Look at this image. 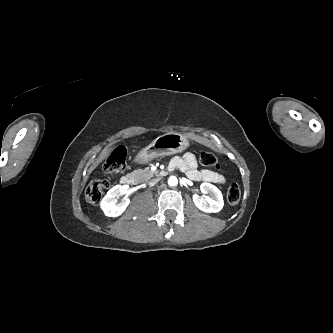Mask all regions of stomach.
<instances>
[{
    "instance_id": "0dacf381",
    "label": "stomach",
    "mask_w": 333,
    "mask_h": 333,
    "mask_svg": "<svg viewBox=\"0 0 333 333\" xmlns=\"http://www.w3.org/2000/svg\"><path fill=\"white\" fill-rule=\"evenodd\" d=\"M189 146L188 139L177 132H170L158 136L149 146L141 150L135 157V162L145 164L165 155L184 151Z\"/></svg>"
}]
</instances>
